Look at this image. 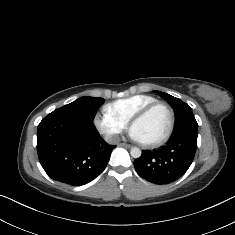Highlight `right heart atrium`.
Segmentation results:
<instances>
[{
	"label": "right heart atrium",
	"instance_id": "d8ad5b80",
	"mask_svg": "<svg viewBox=\"0 0 235 235\" xmlns=\"http://www.w3.org/2000/svg\"><path fill=\"white\" fill-rule=\"evenodd\" d=\"M93 123L96 129L111 142L116 141L118 135L123 133L128 125L127 121L113 113L109 104L103 105L93 115Z\"/></svg>",
	"mask_w": 235,
	"mask_h": 235
}]
</instances>
